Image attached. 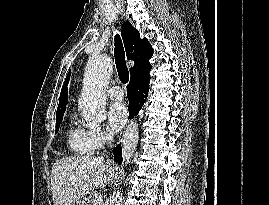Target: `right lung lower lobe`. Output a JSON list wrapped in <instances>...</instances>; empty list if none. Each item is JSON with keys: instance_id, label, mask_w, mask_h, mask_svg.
I'll list each match as a JSON object with an SVG mask.
<instances>
[{"instance_id": "98d812e1", "label": "right lung lower lobe", "mask_w": 269, "mask_h": 205, "mask_svg": "<svg viewBox=\"0 0 269 205\" xmlns=\"http://www.w3.org/2000/svg\"><path fill=\"white\" fill-rule=\"evenodd\" d=\"M149 72L131 78L127 86V95L129 100V118L136 116L142 108L149 91ZM114 160L119 165L122 163V148L117 145L113 150Z\"/></svg>"}]
</instances>
